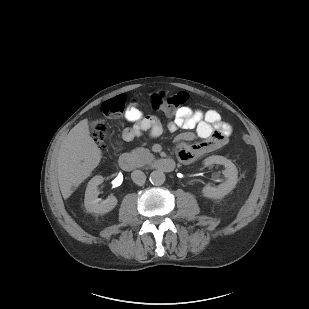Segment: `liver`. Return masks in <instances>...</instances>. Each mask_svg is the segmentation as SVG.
<instances>
[{
  "label": "liver",
  "mask_w": 309,
  "mask_h": 309,
  "mask_svg": "<svg viewBox=\"0 0 309 309\" xmlns=\"http://www.w3.org/2000/svg\"><path fill=\"white\" fill-rule=\"evenodd\" d=\"M102 152L90 136L88 120L80 121L62 141L57 154L59 187L64 199L99 165Z\"/></svg>",
  "instance_id": "obj_1"
}]
</instances>
